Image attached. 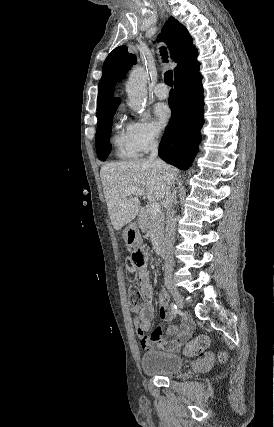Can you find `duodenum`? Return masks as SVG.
I'll return each mask as SVG.
<instances>
[{
    "label": "duodenum",
    "mask_w": 274,
    "mask_h": 427,
    "mask_svg": "<svg viewBox=\"0 0 274 427\" xmlns=\"http://www.w3.org/2000/svg\"><path fill=\"white\" fill-rule=\"evenodd\" d=\"M157 252H158V254L162 257V258H165V245H164V243H159V245H158V248H157Z\"/></svg>",
    "instance_id": "duodenum-1"
}]
</instances>
